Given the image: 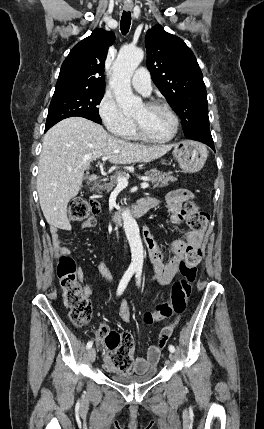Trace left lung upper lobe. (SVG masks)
Here are the masks:
<instances>
[{"mask_svg":"<svg viewBox=\"0 0 264 429\" xmlns=\"http://www.w3.org/2000/svg\"><path fill=\"white\" fill-rule=\"evenodd\" d=\"M152 80L180 116L185 137L210 132L202 72L191 49L159 24L145 38Z\"/></svg>","mask_w":264,"mask_h":429,"instance_id":"obj_1","label":"left lung upper lobe"}]
</instances>
